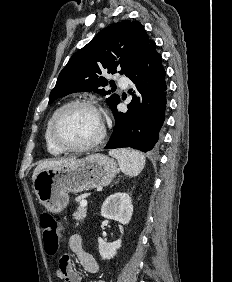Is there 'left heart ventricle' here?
Instances as JSON below:
<instances>
[{
	"instance_id": "obj_1",
	"label": "left heart ventricle",
	"mask_w": 232,
	"mask_h": 282,
	"mask_svg": "<svg viewBox=\"0 0 232 282\" xmlns=\"http://www.w3.org/2000/svg\"><path fill=\"white\" fill-rule=\"evenodd\" d=\"M101 131V120L91 108L73 106L66 109L56 123V135L65 144L83 145L95 140Z\"/></svg>"
}]
</instances>
